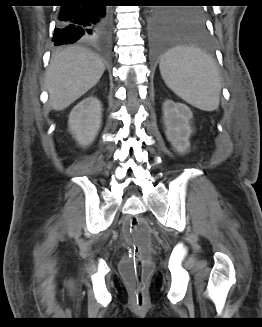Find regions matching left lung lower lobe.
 I'll return each mask as SVG.
<instances>
[{
    "label": "left lung lower lobe",
    "instance_id": "1",
    "mask_svg": "<svg viewBox=\"0 0 262 327\" xmlns=\"http://www.w3.org/2000/svg\"><path fill=\"white\" fill-rule=\"evenodd\" d=\"M149 44L153 54L166 52L175 47L192 45L195 49H209L207 27L202 24H185L175 20L169 10L155 14L149 27Z\"/></svg>",
    "mask_w": 262,
    "mask_h": 327
}]
</instances>
